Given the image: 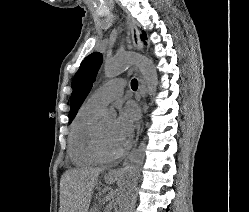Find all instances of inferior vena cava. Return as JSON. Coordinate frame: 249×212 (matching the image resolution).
I'll use <instances>...</instances> for the list:
<instances>
[{"label":"inferior vena cava","mask_w":249,"mask_h":212,"mask_svg":"<svg viewBox=\"0 0 249 212\" xmlns=\"http://www.w3.org/2000/svg\"><path fill=\"white\" fill-rule=\"evenodd\" d=\"M127 176H128V174H125V176H124V180H125V178H127Z\"/></svg>","instance_id":"inferior-vena-cava-1"}]
</instances>
